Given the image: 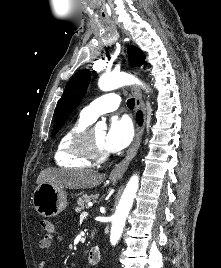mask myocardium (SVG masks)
<instances>
[{"label":"myocardium","instance_id":"obj_1","mask_svg":"<svg viewBox=\"0 0 221 268\" xmlns=\"http://www.w3.org/2000/svg\"><path fill=\"white\" fill-rule=\"evenodd\" d=\"M92 128L85 129L78 137L76 142V151L80 156L92 163H101L108 158V153L100 151L92 138Z\"/></svg>","mask_w":221,"mask_h":268}]
</instances>
